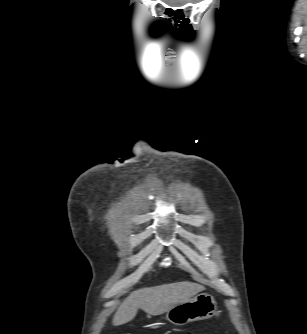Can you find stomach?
I'll list each match as a JSON object with an SVG mask.
<instances>
[{"label": "stomach", "mask_w": 307, "mask_h": 334, "mask_svg": "<svg viewBox=\"0 0 307 334\" xmlns=\"http://www.w3.org/2000/svg\"><path fill=\"white\" fill-rule=\"evenodd\" d=\"M215 312V299L207 293H201L169 309L166 312V319L174 325L182 326L211 318Z\"/></svg>", "instance_id": "1"}]
</instances>
